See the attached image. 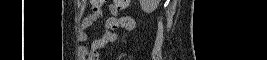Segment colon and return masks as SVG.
I'll list each match as a JSON object with an SVG mask.
<instances>
[{"label": "colon", "mask_w": 267, "mask_h": 60, "mask_svg": "<svg viewBox=\"0 0 267 60\" xmlns=\"http://www.w3.org/2000/svg\"><path fill=\"white\" fill-rule=\"evenodd\" d=\"M129 2H130L129 0H116V1H114V3L117 4L119 7H122L123 5H125ZM91 3L94 5L93 10L98 11L101 8V6L103 5L104 1L103 0H92ZM110 26L113 29H116L118 27H123V23L120 21H112L110 23Z\"/></svg>", "instance_id": "5ec220e1"}]
</instances>
